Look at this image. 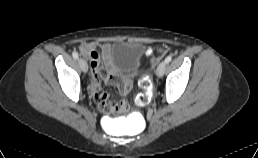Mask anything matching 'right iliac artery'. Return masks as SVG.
<instances>
[{"instance_id": "82829eb1", "label": "right iliac artery", "mask_w": 258, "mask_h": 158, "mask_svg": "<svg viewBox=\"0 0 258 158\" xmlns=\"http://www.w3.org/2000/svg\"><path fill=\"white\" fill-rule=\"evenodd\" d=\"M72 56H73L74 59H78V53L76 51H74L72 53Z\"/></svg>"}]
</instances>
